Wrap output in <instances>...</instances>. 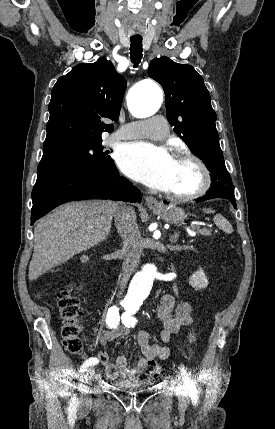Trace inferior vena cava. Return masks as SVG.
Wrapping results in <instances>:
<instances>
[{
  "label": "inferior vena cava",
  "mask_w": 275,
  "mask_h": 429,
  "mask_svg": "<svg viewBox=\"0 0 275 429\" xmlns=\"http://www.w3.org/2000/svg\"><path fill=\"white\" fill-rule=\"evenodd\" d=\"M115 218V226L123 240L125 261L123 272L125 276L131 274L136 267L141 254V234L136 223L134 208L126 205L119 206ZM123 283V282H122ZM123 289V287H121ZM121 295V293H119Z\"/></svg>",
  "instance_id": "obj_1"
}]
</instances>
